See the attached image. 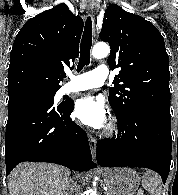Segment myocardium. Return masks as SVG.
Wrapping results in <instances>:
<instances>
[{
	"instance_id": "myocardium-1",
	"label": "myocardium",
	"mask_w": 178,
	"mask_h": 195,
	"mask_svg": "<svg viewBox=\"0 0 178 195\" xmlns=\"http://www.w3.org/2000/svg\"><path fill=\"white\" fill-rule=\"evenodd\" d=\"M117 125L114 121L109 122L104 131V136L111 138L117 133Z\"/></svg>"
}]
</instances>
